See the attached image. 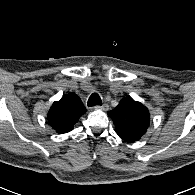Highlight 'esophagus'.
<instances>
[{
  "label": "esophagus",
  "mask_w": 195,
  "mask_h": 195,
  "mask_svg": "<svg viewBox=\"0 0 195 195\" xmlns=\"http://www.w3.org/2000/svg\"><path fill=\"white\" fill-rule=\"evenodd\" d=\"M95 109H100V110H104V111H106V110H108L109 109V106H108V104H103V105H97V106H95L94 107Z\"/></svg>",
  "instance_id": "1"
}]
</instances>
